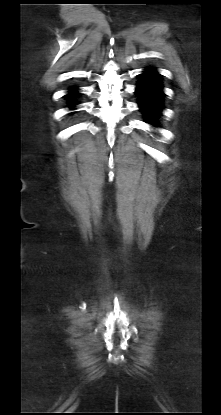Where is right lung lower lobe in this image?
<instances>
[{
  "instance_id": "right-lung-lower-lobe-1",
  "label": "right lung lower lobe",
  "mask_w": 221,
  "mask_h": 415,
  "mask_svg": "<svg viewBox=\"0 0 221 415\" xmlns=\"http://www.w3.org/2000/svg\"><path fill=\"white\" fill-rule=\"evenodd\" d=\"M76 95H78L77 93H69L68 95H67V97H69L70 98V100H73V98H74V96H76ZM76 103H74V102H70V104H69V106L71 107V106H74Z\"/></svg>"
}]
</instances>
